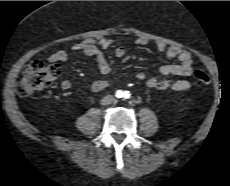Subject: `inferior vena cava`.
Instances as JSON below:
<instances>
[{
  "mask_svg": "<svg viewBox=\"0 0 230 186\" xmlns=\"http://www.w3.org/2000/svg\"><path fill=\"white\" fill-rule=\"evenodd\" d=\"M114 97L112 95H106L101 99V104L102 105H109L113 103Z\"/></svg>",
  "mask_w": 230,
  "mask_h": 186,
  "instance_id": "inferior-vena-cava-1",
  "label": "inferior vena cava"
}]
</instances>
